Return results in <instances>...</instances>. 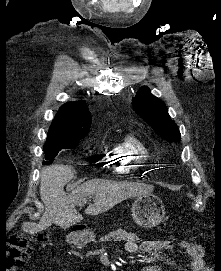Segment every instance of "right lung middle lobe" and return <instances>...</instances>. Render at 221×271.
<instances>
[{"instance_id": "obj_1", "label": "right lung middle lobe", "mask_w": 221, "mask_h": 271, "mask_svg": "<svg viewBox=\"0 0 221 271\" xmlns=\"http://www.w3.org/2000/svg\"><path fill=\"white\" fill-rule=\"evenodd\" d=\"M80 138H47L44 146L46 154L43 165L51 164L61 149H74L78 145Z\"/></svg>"}]
</instances>
